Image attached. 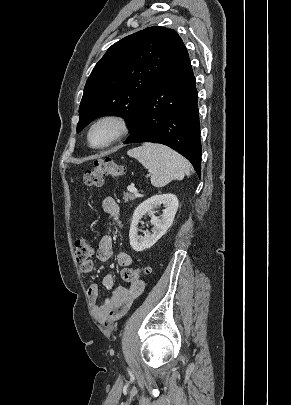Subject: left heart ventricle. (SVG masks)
<instances>
[{
    "label": "left heart ventricle",
    "instance_id": "obj_1",
    "mask_svg": "<svg viewBox=\"0 0 291 405\" xmlns=\"http://www.w3.org/2000/svg\"><path fill=\"white\" fill-rule=\"evenodd\" d=\"M113 129L108 124H102L96 127L91 134V142L94 145L105 143L112 135Z\"/></svg>",
    "mask_w": 291,
    "mask_h": 405
}]
</instances>
